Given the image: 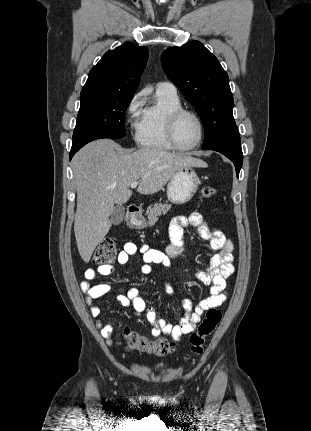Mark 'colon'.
Returning a JSON list of instances; mask_svg holds the SVG:
<instances>
[{
    "label": "colon",
    "mask_w": 311,
    "mask_h": 431,
    "mask_svg": "<svg viewBox=\"0 0 311 431\" xmlns=\"http://www.w3.org/2000/svg\"><path fill=\"white\" fill-rule=\"evenodd\" d=\"M203 199H211L216 195V189L211 186H204L200 193ZM117 250L115 243L110 238L103 239L93 256L97 264H109L116 258ZM221 321V313L217 309H209L206 317L199 324L197 330L190 336L191 351L188 358L202 354L205 339L216 329ZM127 349L138 353H146L155 356H164L174 349L172 343L163 338L150 339L129 328L123 330Z\"/></svg>",
    "instance_id": "colon-1"
}]
</instances>
